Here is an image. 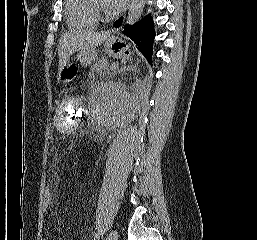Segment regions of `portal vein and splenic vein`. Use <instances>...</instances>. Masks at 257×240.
Here are the masks:
<instances>
[{
    "label": "portal vein and splenic vein",
    "instance_id": "1",
    "mask_svg": "<svg viewBox=\"0 0 257 240\" xmlns=\"http://www.w3.org/2000/svg\"><path fill=\"white\" fill-rule=\"evenodd\" d=\"M119 67V64L118 63H112L111 65V70H115Z\"/></svg>",
    "mask_w": 257,
    "mask_h": 240
}]
</instances>
